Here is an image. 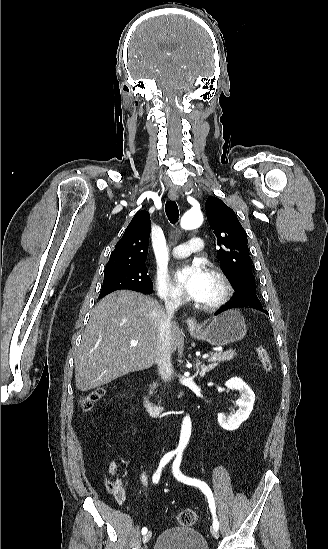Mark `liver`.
Wrapping results in <instances>:
<instances>
[{
  "instance_id": "liver-1",
  "label": "liver",
  "mask_w": 328,
  "mask_h": 549,
  "mask_svg": "<svg viewBox=\"0 0 328 549\" xmlns=\"http://www.w3.org/2000/svg\"><path fill=\"white\" fill-rule=\"evenodd\" d=\"M166 313L152 297L135 291H115L95 305L75 357L78 391L107 385L133 371L156 365L159 329ZM171 353L179 339L176 321H170ZM131 341H138L131 347Z\"/></svg>"
}]
</instances>
